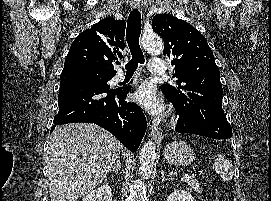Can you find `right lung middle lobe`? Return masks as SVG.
I'll return each instance as SVG.
<instances>
[{
    "mask_svg": "<svg viewBox=\"0 0 271 201\" xmlns=\"http://www.w3.org/2000/svg\"><path fill=\"white\" fill-rule=\"evenodd\" d=\"M65 77L66 75L61 74V80ZM113 77L114 75L85 71L83 74H80L76 78L88 82V84H95L104 88H110L108 81L111 80Z\"/></svg>",
    "mask_w": 271,
    "mask_h": 201,
    "instance_id": "right-lung-middle-lobe-1",
    "label": "right lung middle lobe"
}]
</instances>
